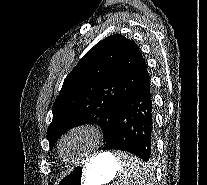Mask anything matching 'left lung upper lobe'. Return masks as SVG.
<instances>
[{
    "mask_svg": "<svg viewBox=\"0 0 207 185\" xmlns=\"http://www.w3.org/2000/svg\"><path fill=\"white\" fill-rule=\"evenodd\" d=\"M149 79L135 42L120 34L100 41L64 80L47 130L50 149L65 132L83 124L99 125L106 143L122 105Z\"/></svg>",
    "mask_w": 207,
    "mask_h": 185,
    "instance_id": "5c2ea615",
    "label": "left lung upper lobe"
}]
</instances>
